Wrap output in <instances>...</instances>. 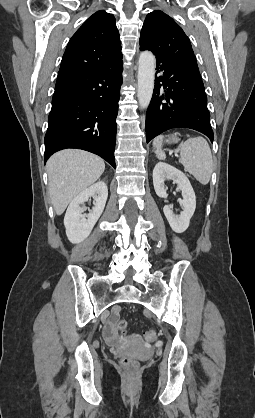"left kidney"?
<instances>
[{
	"instance_id": "obj_1",
	"label": "left kidney",
	"mask_w": 255,
	"mask_h": 418,
	"mask_svg": "<svg viewBox=\"0 0 255 418\" xmlns=\"http://www.w3.org/2000/svg\"><path fill=\"white\" fill-rule=\"evenodd\" d=\"M165 179H171L182 191V211L175 214L170 206H164L163 211L170 227L176 233H183L189 226L190 219L196 208V197L187 176L175 167L159 162L153 169V185L156 194L161 198H167Z\"/></svg>"
}]
</instances>
